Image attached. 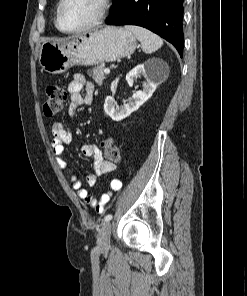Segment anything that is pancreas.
Returning a JSON list of instances; mask_svg holds the SVG:
<instances>
[{
	"label": "pancreas",
	"instance_id": "obj_1",
	"mask_svg": "<svg viewBox=\"0 0 247 296\" xmlns=\"http://www.w3.org/2000/svg\"><path fill=\"white\" fill-rule=\"evenodd\" d=\"M88 75L91 76L96 83L102 84L103 80L105 79L104 65L100 64L94 67L92 70H89Z\"/></svg>",
	"mask_w": 247,
	"mask_h": 296
}]
</instances>
